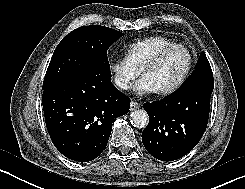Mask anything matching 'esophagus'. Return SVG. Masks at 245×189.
<instances>
[{
	"mask_svg": "<svg viewBox=\"0 0 245 189\" xmlns=\"http://www.w3.org/2000/svg\"><path fill=\"white\" fill-rule=\"evenodd\" d=\"M139 107H140L139 103H137L135 101H131V103H130V110L131 111H134V110L138 109Z\"/></svg>",
	"mask_w": 245,
	"mask_h": 189,
	"instance_id": "1",
	"label": "esophagus"
}]
</instances>
